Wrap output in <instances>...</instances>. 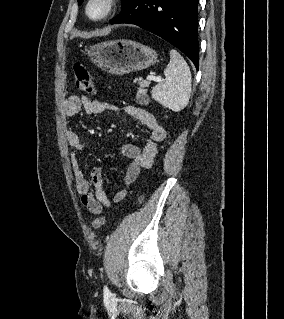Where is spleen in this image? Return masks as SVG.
<instances>
[{"label": "spleen", "mask_w": 284, "mask_h": 319, "mask_svg": "<svg viewBox=\"0 0 284 319\" xmlns=\"http://www.w3.org/2000/svg\"><path fill=\"white\" fill-rule=\"evenodd\" d=\"M165 79L152 89V97L161 105L178 112L184 109L191 93V73L184 58L174 49L164 70Z\"/></svg>", "instance_id": "spleen-1"}]
</instances>
